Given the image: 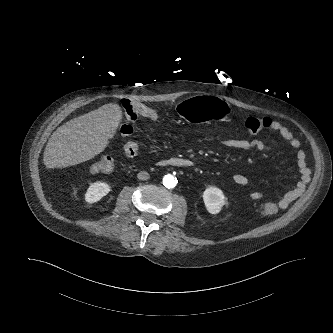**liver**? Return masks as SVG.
<instances>
[{
  "instance_id": "liver-1",
  "label": "liver",
  "mask_w": 333,
  "mask_h": 333,
  "mask_svg": "<svg viewBox=\"0 0 333 333\" xmlns=\"http://www.w3.org/2000/svg\"><path fill=\"white\" fill-rule=\"evenodd\" d=\"M122 119L118 104H105L58 127L44 151L47 168H65L100 154L115 135Z\"/></svg>"
}]
</instances>
